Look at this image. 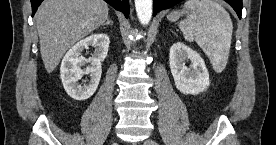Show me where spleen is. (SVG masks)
<instances>
[{
  "instance_id": "3e777b00",
  "label": "spleen",
  "mask_w": 276,
  "mask_h": 145,
  "mask_svg": "<svg viewBox=\"0 0 276 145\" xmlns=\"http://www.w3.org/2000/svg\"><path fill=\"white\" fill-rule=\"evenodd\" d=\"M184 8L190 10L187 18L179 23L184 38L196 41L215 72L221 73L228 61L233 33L229 13L213 0H188Z\"/></svg>"
}]
</instances>
